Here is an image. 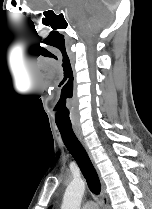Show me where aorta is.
<instances>
[{"label":"aorta","mask_w":152,"mask_h":209,"mask_svg":"<svg viewBox=\"0 0 152 209\" xmlns=\"http://www.w3.org/2000/svg\"><path fill=\"white\" fill-rule=\"evenodd\" d=\"M85 182L82 179H74L66 188L61 209H80Z\"/></svg>","instance_id":"762f6f07"}]
</instances>
